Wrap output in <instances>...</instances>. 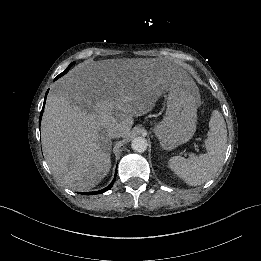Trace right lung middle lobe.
<instances>
[{
    "mask_svg": "<svg viewBox=\"0 0 261 261\" xmlns=\"http://www.w3.org/2000/svg\"><path fill=\"white\" fill-rule=\"evenodd\" d=\"M73 64H74V63H71V64L69 65V67H71ZM69 67H68L64 72H62L61 74H59V75L55 78V80L58 79L59 77L63 76V75L69 70Z\"/></svg>",
    "mask_w": 261,
    "mask_h": 261,
    "instance_id": "dd1d6c3e",
    "label": "right lung middle lobe"
}]
</instances>
